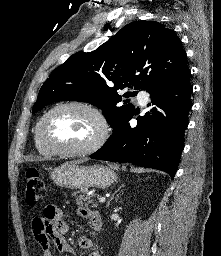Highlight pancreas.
<instances>
[{
  "instance_id": "cf45deb5",
  "label": "pancreas",
  "mask_w": 221,
  "mask_h": 256,
  "mask_svg": "<svg viewBox=\"0 0 221 256\" xmlns=\"http://www.w3.org/2000/svg\"><path fill=\"white\" fill-rule=\"evenodd\" d=\"M76 197V203L78 205H91V207H97L98 204L97 202L94 200L95 195H91V196H86V195H82L80 194V192H75L73 194Z\"/></svg>"
}]
</instances>
